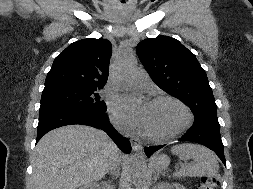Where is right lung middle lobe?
Wrapping results in <instances>:
<instances>
[{"label":"right lung middle lobe","instance_id":"obj_1","mask_svg":"<svg viewBox=\"0 0 253 189\" xmlns=\"http://www.w3.org/2000/svg\"><path fill=\"white\" fill-rule=\"evenodd\" d=\"M102 87H76L61 86L44 89L41 97V106H68L87 109L97 112H105L107 107L100 100L97 93Z\"/></svg>","mask_w":253,"mask_h":189}]
</instances>
